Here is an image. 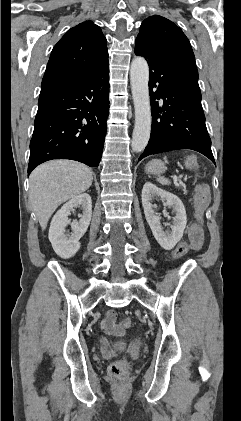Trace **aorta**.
Returning <instances> with one entry per match:
<instances>
[{
    "instance_id": "obj_1",
    "label": "aorta",
    "mask_w": 241,
    "mask_h": 421,
    "mask_svg": "<svg viewBox=\"0 0 241 421\" xmlns=\"http://www.w3.org/2000/svg\"><path fill=\"white\" fill-rule=\"evenodd\" d=\"M131 91L135 108V126L131 147L136 153L142 152L150 138L151 108L149 97V68L143 57L135 58L130 68Z\"/></svg>"
}]
</instances>
